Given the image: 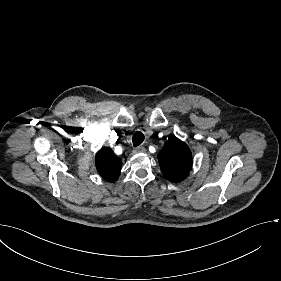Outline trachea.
<instances>
[{
    "label": "trachea",
    "mask_w": 281,
    "mask_h": 281,
    "mask_svg": "<svg viewBox=\"0 0 281 281\" xmlns=\"http://www.w3.org/2000/svg\"><path fill=\"white\" fill-rule=\"evenodd\" d=\"M144 138V134L141 131H136L132 137L133 146H139L144 141Z\"/></svg>",
    "instance_id": "trachea-1"
}]
</instances>
